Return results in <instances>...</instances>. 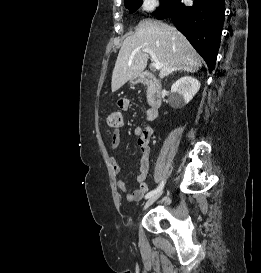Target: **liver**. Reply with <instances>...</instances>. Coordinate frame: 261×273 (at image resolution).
Segmentation results:
<instances>
[{"label":"liver","instance_id":"6515ba94","mask_svg":"<svg viewBox=\"0 0 261 273\" xmlns=\"http://www.w3.org/2000/svg\"><path fill=\"white\" fill-rule=\"evenodd\" d=\"M143 48L151 49L162 64L161 78L176 70L196 72L202 66L201 57L176 28L159 21L143 20L135 34L124 40L119 51L112 74V92L142 74L148 62Z\"/></svg>","mask_w":261,"mask_h":273}]
</instances>
